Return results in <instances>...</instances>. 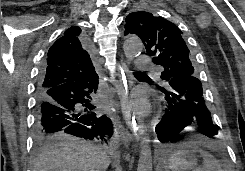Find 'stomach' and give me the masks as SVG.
Returning <instances> with one entry per match:
<instances>
[{
	"label": "stomach",
	"mask_w": 245,
	"mask_h": 171,
	"mask_svg": "<svg viewBox=\"0 0 245 171\" xmlns=\"http://www.w3.org/2000/svg\"><path fill=\"white\" fill-rule=\"evenodd\" d=\"M166 166L171 171H187L196 166V157L192 150H180L170 155Z\"/></svg>",
	"instance_id": "obj_1"
}]
</instances>
